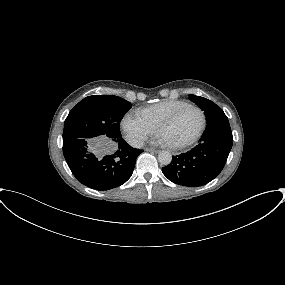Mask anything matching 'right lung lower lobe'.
<instances>
[{"mask_svg": "<svg viewBox=\"0 0 285 285\" xmlns=\"http://www.w3.org/2000/svg\"><path fill=\"white\" fill-rule=\"evenodd\" d=\"M115 153L106 154L97 140L75 139L63 142L65 160L76 179L85 186L105 191L124 184L132 175L136 158L143 151L131 147L124 139Z\"/></svg>", "mask_w": 285, "mask_h": 285, "instance_id": "98d812e1", "label": "right lung lower lobe"}]
</instances>
